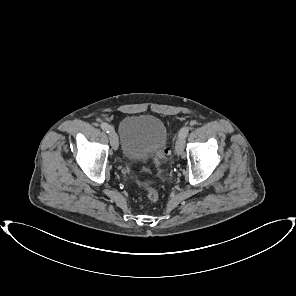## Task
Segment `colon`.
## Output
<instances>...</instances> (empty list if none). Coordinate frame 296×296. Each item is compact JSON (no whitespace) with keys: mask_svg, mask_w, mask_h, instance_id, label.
<instances>
[{"mask_svg":"<svg viewBox=\"0 0 296 296\" xmlns=\"http://www.w3.org/2000/svg\"><path fill=\"white\" fill-rule=\"evenodd\" d=\"M169 154V149L167 147H163L160 152L158 157L160 156H164V155H168ZM158 161V158L155 159V163ZM142 189L146 192L147 197L150 201H157L159 198V194L157 192L156 189H154L153 187L146 185V184H142L141 185Z\"/></svg>","mask_w":296,"mask_h":296,"instance_id":"5ec220e1","label":"colon"}]
</instances>
